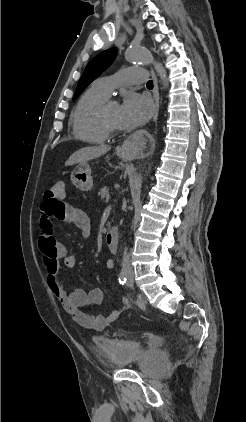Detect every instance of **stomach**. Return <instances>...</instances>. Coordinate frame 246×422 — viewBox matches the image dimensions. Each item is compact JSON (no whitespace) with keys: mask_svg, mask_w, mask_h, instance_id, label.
Instances as JSON below:
<instances>
[{"mask_svg":"<svg viewBox=\"0 0 246 422\" xmlns=\"http://www.w3.org/2000/svg\"><path fill=\"white\" fill-rule=\"evenodd\" d=\"M120 155H125V152L121 151ZM71 182L80 191H89L93 187L91 168L86 162L74 169L71 173Z\"/></svg>","mask_w":246,"mask_h":422,"instance_id":"stomach-1","label":"stomach"}]
</instances>
